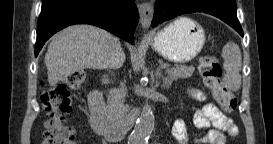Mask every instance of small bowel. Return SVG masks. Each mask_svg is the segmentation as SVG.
<instances>
[{"instance_id": "obj_1", "label": "small bowel", "mask_w": 273, "mask_h": 144, "mask_svg": "<svg viewBox=\"0 0 273 144\" xmlns=\"http://www.w3.org/2000/svg\"><path fill=\"white\" fill-rule=\"evenodd\" d=\"M190 95L193 99L204 102L203 106L195 112L193 122L196 128L205 130V134L196 139L195 143L224 144L226 141L225 133L232 138L237 137V126L218 106L206 101V94L202 90L193 89ZM172 133L178 144L191 143V138L183 120L178 119L174 122Z\"/></svg>"}]
</instances>
